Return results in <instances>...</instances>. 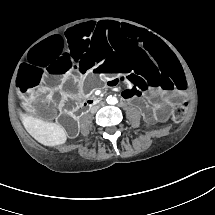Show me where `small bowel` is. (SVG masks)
Masks as SVG:
<instances>
[{"instance_id":"small-bowel-1","label":"small bowel","mask_w":215,"mask_h":215,"mask_svg":"<svg viewBox=\"0 0 215 215\" xmlns=\"http://www.w3.org/2000/svg\"><path fill=\"white\" fill-rule=\"evenodd\" d=\"M136 96V92L122 93L124 99H132Z\"/></svg>"}]
</instances>
